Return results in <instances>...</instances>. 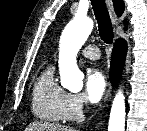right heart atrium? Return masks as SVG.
Wrapping results in <instances>:
<instances>
[{
    "label": "right heart atrium",
    "instance_id": "1",
    "mask_svg": "<svg viewBox=\"0 0 147 131\" xmlns=\"http://www.w3.org/2000/svg\"><path fill=\"white\" fill-rule=\"evenodd\" d=\"M86 99L80 93H67L62 107L63 117L65 121H77L84 113Z\"/></svg>",
    "mask_w": 147,
    "mask_h": 131
}]
</instances>
